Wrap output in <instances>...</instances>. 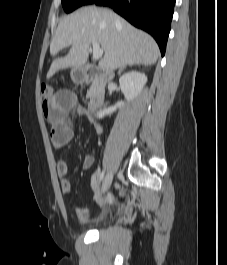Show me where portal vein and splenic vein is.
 <instances>
[{
    "instance_id": "18ae733b",
    "label": "portal vein and splenic vein",
    "mask_w": 227,
    "mask_h": 265,
    "mask_svg": "<svg viewBox=\"0 0 227 265\" xmlns=\"http://www.w3.org/2000/svg\"><path fill=\"white\" fill-rule=\"evenodd\" d=\"M93 58L100 59L103 55V50L100 49V45L98 43H93Z\"/></svg>"
}]
</instances>
